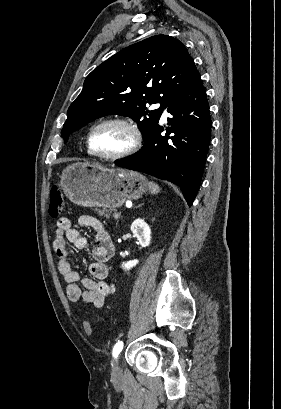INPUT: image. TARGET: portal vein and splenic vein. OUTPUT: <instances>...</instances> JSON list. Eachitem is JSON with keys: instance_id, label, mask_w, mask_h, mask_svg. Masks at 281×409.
I'll return each instance as SVG.
<instances>
[{"instance_id": "portal-vein-and-splenic-vein-1", "label": "portal vein and splenic vein", "mask_w": 281, "mask_h": 409, "mask_svg": "<svg viewBox=\"0 0 281 409\" xmlns=\"http://www.w3.org/2000/svg\"><path fill=\"white\" fill-rule=\"evenodd\" d=\"M112 216L115 217V219H119V217L123 216V213L122 212H113Z\"/></svg>"}]
</instances>
